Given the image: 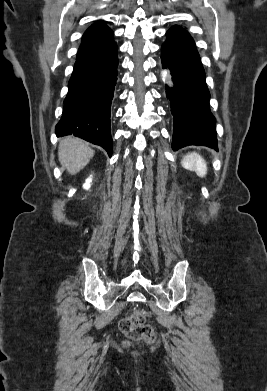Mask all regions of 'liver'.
Returning a JSON list of instances; mask_svg holds the SVG:
<instances>
[{"label":"liver","instance_id":"liver-1","mask_svg":"<svg viewBox=\"0 0 267 391\" xmlns=\"http://www.w3.org/2000/svg\"><path fill=\"white\" fill-rule=\"evenodd\" d=\"M93 155L94 151L79 138L67 137L60 141L59 162L71 175H75L83 169Z\"/></svg>","mask_w":267,"mask_h":391}]
</instances>
